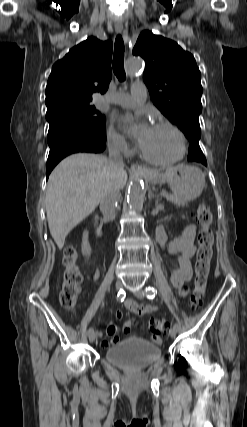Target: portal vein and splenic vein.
Listing matches in <instances>:
<instances>
[{"label": "portal vein and splenic vein", "mask_w": 247, "mask_h": 427, "mask_svg": "<svg viewBox=\"0 0 247 427\" xmlns=\"http://www.w3.org/2000/svg\"><path fill=\"white\" fill-rule=\"evenodd\" d=\"M165 191H161L160 194H164Z\"/></svg>", "instance_id": "portal-vein-and-splenic-vein-1"}]
</instances>
